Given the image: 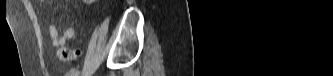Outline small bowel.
<instances>
[{"label": "small bowel", "mask_w": 333, "mask_h": 76, "mask_svg": "<svg viewBox=\"0 0 333 76\" xmlns=\"http://www.w3.org/2000/svg\"><path fill=\"white\" fill-rule=\"evenodd\" d=\"M50 42L55 47H62L67 41H74L77 37L76 29L74 26L67 27L62 34L59 33L58 28L52 24L49 27Z\"/></svg>", "instance_id": "obj_1"}]
</instances>
